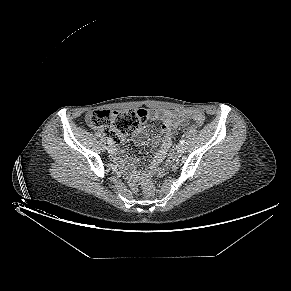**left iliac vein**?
Listing matches in <instances>:
<instances>
[{"label": "left iliac vein", "instance_id": "1", "mask_svg": "<svg viewBox=\"0 0 291 291\" xmlns=\"http://www.w3.org/2000/svg\"><path fill=\"white\" fill-rule=\"evenodd\" d=\"M186 151V147L183 145V144H179L178 146H177V152L178 153H184Z\"/></svg>", "mask_w": 291, "mask_h": 291}]
</instances>
